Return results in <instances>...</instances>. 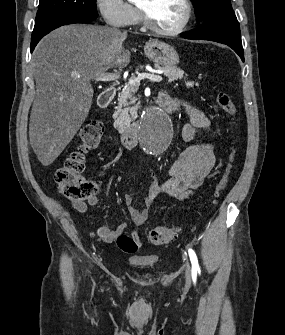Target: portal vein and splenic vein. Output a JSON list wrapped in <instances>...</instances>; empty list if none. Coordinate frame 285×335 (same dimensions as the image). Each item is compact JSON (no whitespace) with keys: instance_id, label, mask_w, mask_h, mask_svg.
Listing matches in <instances>:
<instances>
[{"instance_id":"portal-vein-and-splenic-vein-1","label":"portal vein and splenic vein","mask_w":285,"mask_h":335,"mask_svg":"<svg viewBox=\"0 0 285 335\" xmlns=\"http://www.w3.org/2000/svg\"><path fill=\"white\" fill-rule=\"evenodd\" d=\"M151 72L153 74H138L137 78H130L129 84H139L144 78L151 80V82H162V76H154V74H164L163 70H151ZM119 78V74H102V76L95 78V82H115Z\"/></svg>"}]
</instances>
